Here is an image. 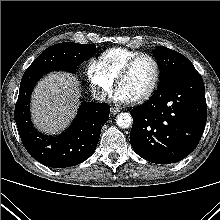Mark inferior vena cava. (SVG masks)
I'll list each match as a JSON object with an SVG mask.
<instances>
[{
    "label": "inferior vena cava",
    "instance_id": "602c4592",
    "mask_svg": "<svg viewBox=\"0 0 220 220\" xmlns=\"http://www.w3.org/2000/svg\"><path fill=\"white\" fill-rule=\"evenodd\" d=\"M92 95H93L94 99L102 102V101H105L107 94L104 91H100V90L95 89L92 91Z\"/></svg>",
    "mask_w": 220,
    "mask_h": 220
}]
</instances>
